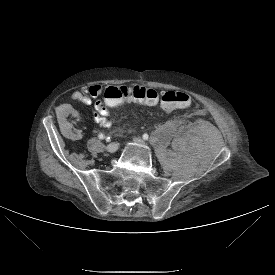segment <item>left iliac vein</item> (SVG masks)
I'll return each instance as SVG.
<instances>
[{"label": "left iliac vein", "instance_id": "1", "mask_svg": "<svg viewBox=\"0 0 275 275\" xmlns=\"http://www.w3.org/2000/svg\"><path fill=\"white\" fill-rule=\"evenodd\" d=\"M134 142L138 143V144H143V140L139 137H134Z\"/></svg>", "mask_w": 275, "mask_h": 275}]
</instances>
